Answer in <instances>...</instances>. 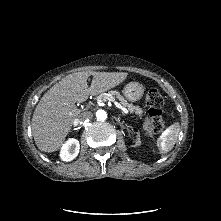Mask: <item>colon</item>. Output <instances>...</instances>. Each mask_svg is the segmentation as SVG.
<instances>
[{"mask_svg":"<svg viewBox=\"0 0 221 221\" xmlns=\"http://www.w3.org/2000/svg\"><path fill=\"white\" fill-rule=\"evenodd\" d=\"M146 106L150 116V128L154 133H160L164 129L163 106L164 98L161 93L156 90H150L146 95Z\"/></svg>","mask_w":221,"mask_h":221,"instance_id":"5ec220e1","label":"colon"}]
</instances>
